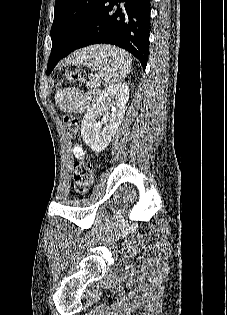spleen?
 <instances>
[{
    "instance_id": "spleen-1",
    "label": "spleen",
    "mask_w": 227,
    "mask_h": 315,
    "mask_svg": "<svg viewBox=\"0 0 227 315\" xmlns=\"http://www.w3.org/2000/svg\"><path fill=\"white\" fill-rule=\"evenodd\" d=\"M66 65H84L91 70L98 71L108 84L122 81L129 73L131 59L122 49L112 46H92L74 52L65 60ZM92 87L98 86L92 82ZM100 95L98 91H91L83 95L78 89H63L56 93L55 99L59 107L64 111L84 112L92 107Z\"/></svg>"
}]
</instances>
